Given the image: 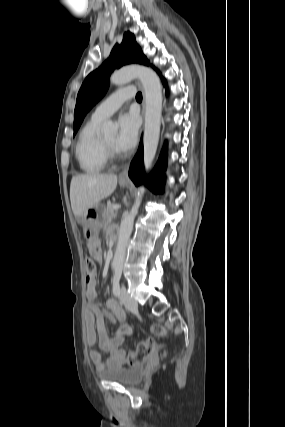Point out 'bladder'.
<instances>
[{"mask_svg": "<svg viewBox=\"0 0 285 427\" xmlns=\"http://www.w3.org/2000/svg\"><path fill=\"white\" fill-rule=\"evenodd\" d=\"M143 373V367L141 365H134L130 367H111L99 372L98 375L105 381L131 386L142 379Z\"/></svg>", "mask_w": 285, "mask_h": 427, "instance_id": "obj_1", "label": "bladder"}]
</instances>
